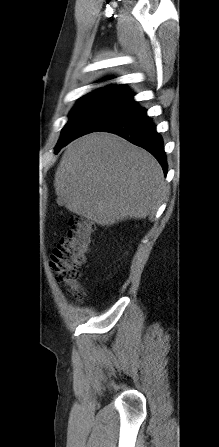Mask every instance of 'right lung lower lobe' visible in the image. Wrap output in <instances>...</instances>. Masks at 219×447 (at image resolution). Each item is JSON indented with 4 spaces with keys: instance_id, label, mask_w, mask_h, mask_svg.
<instances>
[{
    "instance_id": "98d812e1",
    "label": "right lung lower lobe",
    "mask_w": 219,
    "mask_h": 447,
    "mask_svg": "<svg viewBox=\"0 0 219 447\" xmlns=\"http://www.w3.org/2000/svg\"><path fill=\"white\" fill-rule=\"evenodd\" d=\"M97 131L117 134L133 144L143 147L158 160L166 176L167 161L163 141L144 108L138 107L130 113L106 123Z\"/></svg>"
}]
</instances>
